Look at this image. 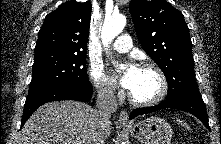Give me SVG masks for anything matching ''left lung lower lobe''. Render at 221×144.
<instances>
[{
	"label": "left lung lower lobe",
	"instance_id": "1",
	"mask_svg": "<svg viewBox=\"0 0 221 144\" xmlns=\"http://www.w3.org/2000/svg\"><path fill=\"white\" fill-rule=\"evenodd\" d=\"M168 108L189 112L196 116L208 129H210L204 102L188 97L170 98L152 107L137 108L130 114L129 119H132L138 115L148 114Z\"/></svg>",
	"mask_w": 221,
	"mask_h": 144
}]
</instances>
